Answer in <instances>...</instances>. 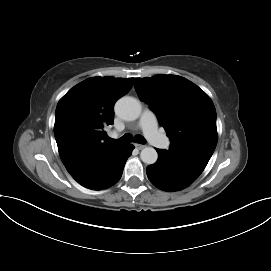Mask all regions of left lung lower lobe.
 Returning a JSON list of instances; mask_svg holds the SVG:
<instances>
[{"label":"left lung lower lobe","mask_w":271,"mask_h":271,"mask_svg":"<svg viewBox=\"0 0 271 271\" xmlns=\"http://www.w3.org/2000/svg\"><path fill=\"white\" fill-rule=\"evenodd\" d=\"M156 150L158 160L147 167V176L153 185L164 191L173 192L188 187L208 163V159L197 155Z\"/></svg>","instance_id":"0a47b994"}]
</instances>
